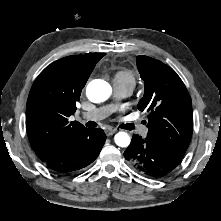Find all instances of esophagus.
<instances>
[{"label": "esophagus", "instance_id": "34e87169", "mask_svg": "<svg viewBox=\"0 0 221 221\" xmlns=\"http://www.w3.org/2000/svg\"><path fill=\"white\" fill-rule=\"evenodd\" d=\"M116 131H117V130L114 129V128H108V129H106L105 133H106L107 136H111V135H113Z\"/></svg>", "mask_w": 221, "mask_h": 221}]
</instances>
